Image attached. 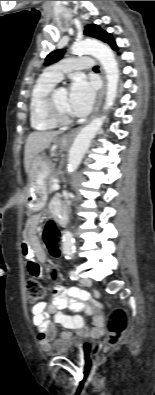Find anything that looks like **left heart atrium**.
I'll return each instance as SVG.
<instances>
[{
	"instance_id": "obj_1",
	"label": "left heart atrium",
	"mask_w": 155,
	"mask_h": 395,
	"mask_svg": "<svg viewBox=\"0 0 155 395\" xmlns=\"http://www.w3.org/2000/svg\"><path fill=\"white\" fill-rule=\"evenodd\" d=\"M95 99V84L79 76L71 84L68 96L69 112L73 116H85L92 108Z\"/></svg>"
}]
</instances>
